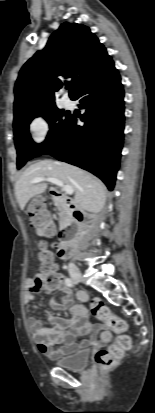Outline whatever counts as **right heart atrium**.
Masks as SVG:
<instances>
[{
	"mask_svg": "<svg viewBox=\"0 0 155 413\" xmlns=\"http://www.w3.org/2000/svg\"><path fill=\"white\" fill-rule=\"evenodd\" d=\"M31 139L36 144L43 143L50 132V122L44 115H36L28 123Z\"/></svg>",
	"mask_w": 155,
	"mask_h": 413,
	"instance_id": "d8ad5b80",
	"label": "right heart atrium"
}]
</instances>
